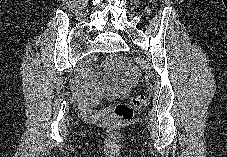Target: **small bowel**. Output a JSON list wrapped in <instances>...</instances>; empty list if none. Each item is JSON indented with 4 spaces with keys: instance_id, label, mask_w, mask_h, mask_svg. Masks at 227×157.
Returning <instances> with one entry per match:
<instances>
[{
    "instance_id": "obj_1",
    "label": "small bowel",
    "mask_w": 227,
    "mask_h": 157,
    "mask_svg": "<svg viewBox=\"0 0 227 157\" xmlns=\"http://www.w3.org/2000/svg\"><path fill=\"white\" fill-rule=\"evenodd\" d=\"M115 61L114 56L107 58L100 75L95 74L92 68H85L80 80L72 87L76 98L86 105H92L99 98L125 97L135 83L137 72L126 64L114 67Z\"/></svg>"
}]
</instances>
